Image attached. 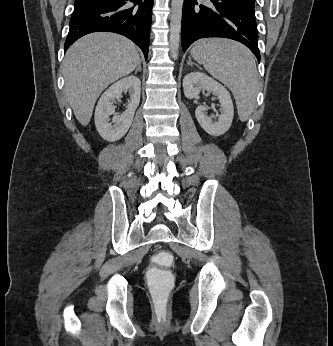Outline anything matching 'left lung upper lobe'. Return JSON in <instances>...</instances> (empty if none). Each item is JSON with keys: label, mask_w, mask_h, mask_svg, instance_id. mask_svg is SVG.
<instances>
[{"label": "left lung upper lobe", "mask_w": 333, "mask_h": 346, "mask_svg": "<svg viewBox=\"0 0 333 346\" xmlns=\"http://www.w3.org/2000/svg\"><path fill=\"white\" fill-rule=\"evenodd\" d=\"M240 1L250 5L252 7H254V4H255V0H240Z\"/></svg>", "instance_id": "5c2ea615"}]
</instances>
